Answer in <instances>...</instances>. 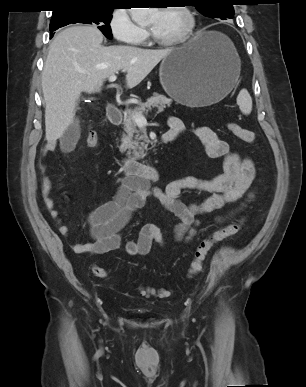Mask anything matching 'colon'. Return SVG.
<instances>
[{
	"instance_id": "5ec220e1",
	"label": "colon",
	"mask_w": 306,
	"mask_h": 387,
	"mask_svg": "<svg viewBox=\"0 0 306 387\" xmlns=\"http://www.w3.org/2000/svg\"><path fill=\"white\" fill-rule=\"evenodd\" d=\"M227 129L233 136H235L236 138L240 139L245 143L251 144L255 142L254 132L242 127L237 123L229 122L227 124ZM86 145L90 148H96L99 145L98 135L96 133L88 134V136L86 137ZM241 226H242L241 220L229 223L215 230L209 237L201 240L195 249L193 260L190 263L189 274L191 276L199 274L203 269L204 260L212 244L214 242L220 241L226 237L236 234L241 229ZM92 271L95 276L100 278H106L108 276L107 271L104 268H101L98 266L93 267ZM142 293L144 295H150V294L156 293L157 295L163 297V296H166L167 292L164 290L155 292V290L153 289L146 288L142 290Z\"/></svg>"
}]
</instances>
